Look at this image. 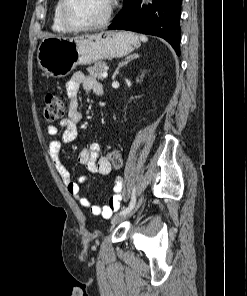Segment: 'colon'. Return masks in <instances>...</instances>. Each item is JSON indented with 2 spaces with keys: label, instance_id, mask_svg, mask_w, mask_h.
<instances>
[{
  "label": "colon",
  "instance_id": "5ec220e1",
  "mask_svg": "<svg viewBox=\"0 0 247 296\" xmlns=\"http://www.w3.org/2000/svg\"><path fill=\"white\" fill-rule=\"evenodd\" d=\"M65 112V106L62 99L52 93L45 96L43 115L47 121H56L60 119ZM108 160L114 170H120L123 167V159L118 151H112L108 154Z\"/></svg>",
  "mask_w": 247,
  "mask_h": 296
}]
</instances>
